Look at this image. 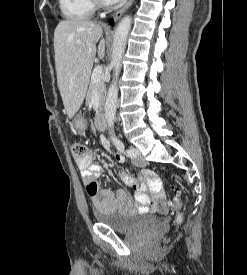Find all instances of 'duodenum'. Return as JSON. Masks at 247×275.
<instances>
[{
	"label": "duodenum",
	"mask_w": 247,
	"mask_h": 275,
	"mask_svg": "<svg viewBox=\"0 0 247 275\" xmlns=\"http://www.w3.org/2000/svg\"><path fill=\"white\" fill-rule=\"evenodd\" d=\"M95 124L98 130H101V131L105 130L107 125V120H106V115L103 111L97 114Z\"/></svg>",
	"instance_id": "obj_1"
}]
</instances>
